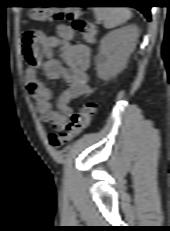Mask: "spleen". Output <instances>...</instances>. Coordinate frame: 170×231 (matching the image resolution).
I'll use <instances>...</instances> for the list:
<instances>
[{
    "mask_svg": "<svg viewBox=\"0 0 170 231\" xmlns=\"http://www.w3.org/2000/svg\"><path fill=\"white\" fill-rule=\"evenodd\" d=\"M95 17L103 21L106 29H112L122 25L131 17V12L127 7H94Z\"/></svg>",
    "mask_w": 170,
    "mask_h": 231,
    "instance_id": "obj_1",
    "label": "spleen"
}]
</instances>
